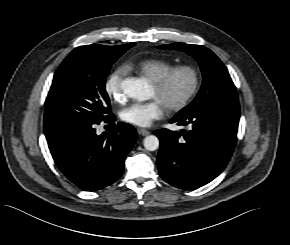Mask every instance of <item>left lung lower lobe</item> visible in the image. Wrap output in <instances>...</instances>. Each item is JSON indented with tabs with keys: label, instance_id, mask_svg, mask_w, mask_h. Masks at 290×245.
<instances>
[{
	"label": "left lung lower lobe",
	"instance_id": "1",
	"mask_svg": "<svg viewBox=\"0 0 290 245\" xmlns=\"http://www.w3.org/2000/svg\"><path fill=\"white\" fill-rule=\"evenodd\" d=\"M240 115L213 108L175 116L171 123L190 125L180 132L159 129L158 170L170 185L189 190L216 178L226 167L237 141Z\"/></svg>",
	"mask_w": 290,
	"mask_h": 245
}]
</instances>
